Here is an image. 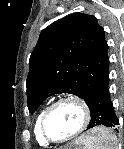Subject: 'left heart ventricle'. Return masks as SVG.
I'll list each match as a JSON object with an SVG mask.
<instances>
[{"mask_svg": "<svg viewBox=\"0 0 124 149\" xmlns=\"http://www.w3.org/2000/svg\"><path fill=\"white\" fill-rule=\"evenodd\" d=\"M81 122L82 114L79 107L73 103H64L50 113L46 130L51 138L60 140L73 134Z\"/></svg>", "mask_w": 124, "mask_h": 149, "instance_id": "left-heart-ventricle-1", "label": "left heart ventricle"}]
</instances>
